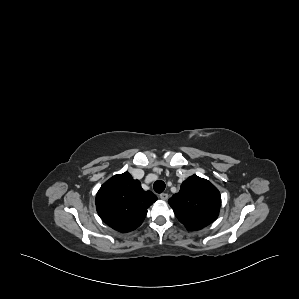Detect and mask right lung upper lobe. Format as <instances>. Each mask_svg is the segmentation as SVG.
<instances>
[{
	"label": "right lung upper lobe",
	"instance_id": "1",
	"mask_svg": "<svg viewBox=\"0 0 299 299\" xmlns=\"http://www.w3.org/2000/svg\"><path fill=\"white\" fill-rule=\"evenodd\" d=\"M157 200L151 191L130 173L118 174L106 181L96 195V208L102 220L116 231L125 233L139 227L147 209Z\"/></svg>",
	"mask_w": 299,
	"mask_h": 299
}]
</instances>
